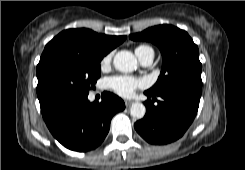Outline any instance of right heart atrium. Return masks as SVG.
Masks as SVG:
<instances>
[{
    "instance_id": "right-heart-atrium-1",
    "label": "right heart atrium",
    "mask_w": 245,
    "mask_h": 170,
    "mask_svg": "<svg viewBox=\"0 0 245 170\" xmlns=\"http://www.w3.org/2000/svg\"><path fill=\"white\" fill-rule=\"evenodd\" d=\"M111 59H112V54H111V53L105 55V56L102 58V60H101V65H102V66H107V65H109L110 62H111Z\"/></svg>"
}]
</instances>
